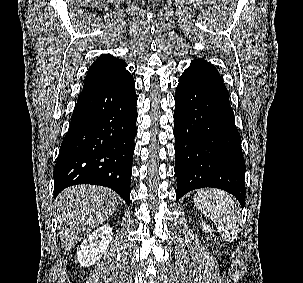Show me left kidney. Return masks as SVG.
I'll use <instances>...</instances> for the list:
<instances>
[{"label":"left kidney","mask_w":303,"mask_h":283,"mask_svg":"<svg viewBox=\"0 0 303 283\" xmlns=\"http://www.w3.org/2000/svg\"><path fill=\"white\" fill-rule=\"evenodd\" d=\"M202 230L205 232H211L210 227L202 222Z\"/></svg>","instance_id":"1"}]
</instances>
